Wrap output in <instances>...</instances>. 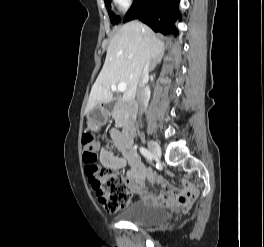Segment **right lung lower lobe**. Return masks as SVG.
<instances>
[{
    "mask_svg": "<svg viewBox=\"0 0 264 247\" xmlns=\"http://www.w3.org/2000/svg\"><path fill=\"white\" fill-rule=\"evenodd\" d=\"M180 0H134L124 17V22L139 19L155 32L178 34L175 21L180 16Z\"/></svg>",
    "mask_w": 264,
    "mask_h": 247,
    "instance_id": "obj_1",
    "label": "right lung lower lobe"
}]
</instances>
